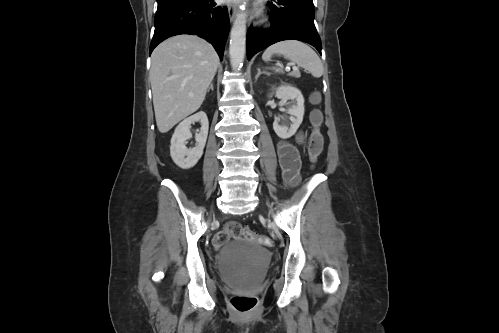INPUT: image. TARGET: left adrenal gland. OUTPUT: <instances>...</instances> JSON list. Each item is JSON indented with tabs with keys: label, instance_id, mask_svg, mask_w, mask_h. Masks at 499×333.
I'll list each match as a JSON object with an SVG mask.
<instances>
[{
	"label": "left adrenal gland",
	"instance_id": "obj_1",
	"mask_svg": "<svg viewBox=\"0 0 499 333\" xmlns=\"http://www.w3.org/2000/svg\"><path fill=\"white\" fill-rule=\"evenodd\" d=\"M261 74H267V75H269L267 72L261 71V69L258 68L257 69V75L255 76V80H257Z\"/></svg>",
	"mask_w": 499,
	"mask_h": 333
}]
</instances>
